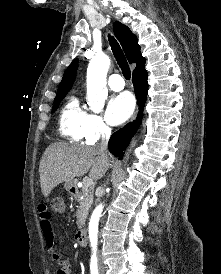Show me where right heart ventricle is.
Segmentation results:
<instances>
[{"label":"right heart ventricle","mask_w":221,"mask_h":274,"mask_svg":"<svg viewBox=\"0 0 221 274\" xmlns=\"http://www.w3.org/2000/svg\"><path fill=\"white\" fill-rule=\"evenodd\" d=\"M86 113L76 96H71L64 104L59 117V130L63 137L72 142H81L84 139Z\"/></svg>","instance_id":"right-heart-ventricle-1"}]
</instances>
